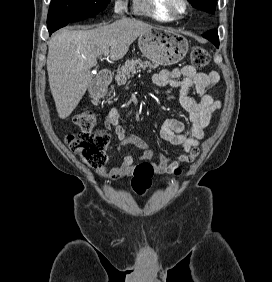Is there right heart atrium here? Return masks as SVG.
Wrapping results in <instances>:
<instances>
[{
    "instance_id": "obj_1",
    "label": "right heart atrium",
    "mask_w": 272,
    "mask_h": 282,
    "mask_svg": "<svg viewBox=\"0 0 272 282\" xmlns=\"http://www.w3.org/2000/svg\"><path fill=\"white\" fill-rule=\"evenodd\" d=\"M127 11V3L125 0H114L113 13L116 17H120Z\"/></svg>"
}]
</instances>
